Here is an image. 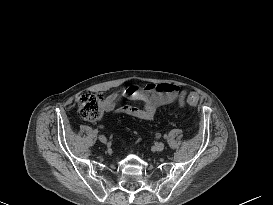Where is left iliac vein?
I'll use <instances>...</instances> for the list:
<instances>
[{"mask_svg": "<svg viewBox=\"0 0 273 205\" xmlns=\"http://www.w3.org/2000/svg\"><path fill=\"white\" fill-rule=\"evenodd\" d=\"M165 147V144L163 142H158L154 145V148L156 151H162Z\"/></svg>", "mask_w": 273, "mask_h": 205, "instance_id": "4c4485c4", "label": "left iliac vein"}]
</instances>
